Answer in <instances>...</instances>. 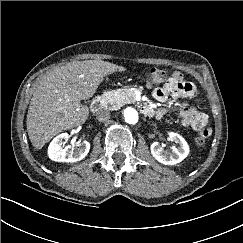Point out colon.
<instances>
[{
  "mask_svg": "<svg viewBox=\"0 0 243 243\" xmlns=\"http://www.w3.org/2000/svg\"><path fill=\"white\" fill-rule=\"evenodd\" d=\"M167 76H168V71L167 70H165V69H159V68H152L147 73V76H146V84L149 87L158 85V84L164 82L165 79L167 78ZM205 141H206V139L202 135H199V136H197L195 138V143L198 146L204 145L205 144Z\"/></svg>",
  "mask_w": 243,
  "mask_h": 243,
  "instance_id": "5ec220e1",
  "label": "colon"
}]
</instances>
